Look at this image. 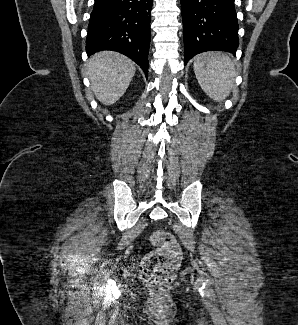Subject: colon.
Returning <instances> with one entry per match:
<instances>
[{"label":"colon","instance_id":"1","mask_svg":"<svg viewBox=\"0 0 298 325\" xmlns=\"http://www.w3.org/2000/svg\"><path fill=\"white\" fill-rule=\"evenodd\" d=\"M156 248L142 261L141 277L147 284L167 285L177 274L182 253L174 236L165 231H157L152 236Z\"/></svg>","mask_w":298,"mask_h":325}]
</instances>
